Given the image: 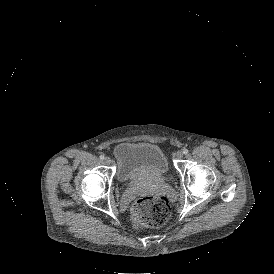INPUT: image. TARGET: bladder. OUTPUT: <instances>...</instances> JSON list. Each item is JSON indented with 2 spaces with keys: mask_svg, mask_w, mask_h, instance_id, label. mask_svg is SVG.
<instances>
[{
  "mask_svg": "<svg viewBox=\"0 0 274 274\" xmlns=\"http://www.w3.org/2000/svg\"><path fill=\"white\" fill-rule=\"evenodd\" d=\"M115 167L119 181L137 178H161L169 171L164 150L155 144L121 142L114 147Z\"/></svg>",
  "mask_w": 274,
  "mask_h": 274,
  "instance_id": "bladder-1",
  "label": "bladder"
}]
</instances>
